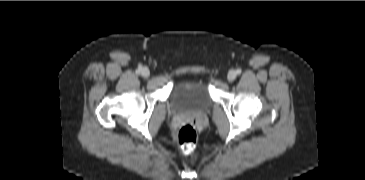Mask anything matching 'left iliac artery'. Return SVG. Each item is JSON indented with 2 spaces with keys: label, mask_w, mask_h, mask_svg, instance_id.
Here are the masks:
<instances>
[{
  "label": "left iliac artery",
  "mask_w": 365,
  "mask_h": 180,
  "mask_svg": "<svg viewBox=\"0 0 365 180\" xmlns=\"http://www.w3.org/2000/svg\"><path fill=\"white\" fill-rule=\"evenodd\" d=\"M236 73H237V74H241V69H237V70H236Z\"/></svg>",
  "instance_id": "left-iliac-artery-1"
}]
</instances>
